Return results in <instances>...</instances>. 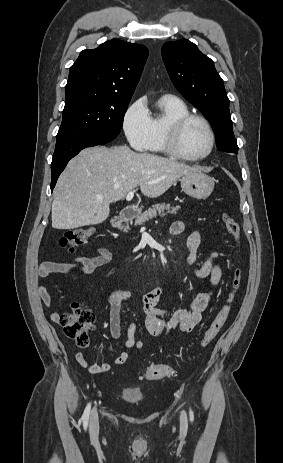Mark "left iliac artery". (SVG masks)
I'll list each match as a JSON object with an SVG mask.
<instances>
[{
	"label": "left iliac artery",
	"instance_id": "1",
	"mask_svg": "<svg viewBox=\"0 0 283 463\" xmlns=\"http://www.w3.org/2000/svg\"><path fill=\"white\" fill-rule=\"evenodd\" d=\"M190 420L193 422L194 420V414L193 411L190 409Z\"/></svg>",
	"mask_w": 283,
	"mask_h": 463
}]
</instances>
